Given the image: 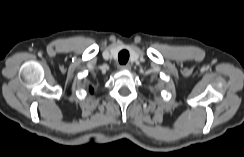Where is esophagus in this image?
Here are the masks:
<instances>
[{
	"mask_svg": "<svg viewBox=\"0 0 244 157\" xmlns=\"http://www.w3.org/2000/svg\"><path fill=\"white\" fill-rule=\"evenodd\" d=\"M119 69L120 70H130L131 69V65L130 64L120 65Z\"/></svg>",
	"mask_w": 244,
	"mask_h": 157,
	"instance_id": "obj_1",
	"label": "esophagus"
}]
</instances>
